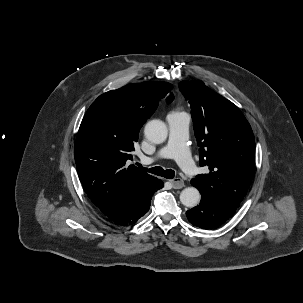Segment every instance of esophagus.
<instances>
[{"instance_id": "1", "label": "esophagus", "mask_w": 303, "mask_h": 303, "mask_svg": "<svg viewBox=\"0 0 303 303\" xmlns=\"http://www.w3.org/2000/svg\"><path fill=\"white\" fill-rule=\"evenodd\" d=\"M170 182L174 189H181L184 187V181L181 178H175Z\"/></svg>"}]
</instances>
